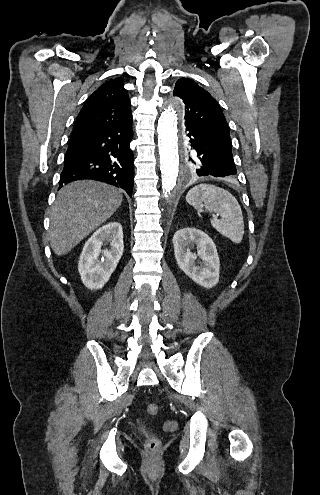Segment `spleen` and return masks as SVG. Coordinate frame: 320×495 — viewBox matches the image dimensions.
Listing matches in <instances>:
<instances>
[{
	"instance_id": "3e777b00",
	"label": "spleen",
	"mask_w": 320,
	"mask_h": 495,
	"mask_svg": "<svg viewBox=\"0 0 320 495\" xmlns=\"http://www.w3.org/2000/svg\"><path fill=\"white\" fill-rule=\"evenodd\" d=\"M186 201L195 209L204 205L207 211L217 213L221 219H211V225L224 237L238 244L244 235V220L237 199L227 190L210 184H200L186 195Z\"/></svg>"
}]
</instances>
